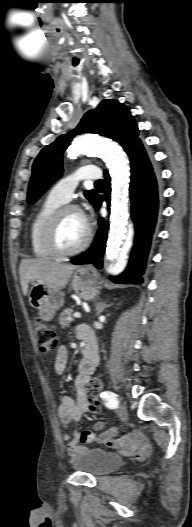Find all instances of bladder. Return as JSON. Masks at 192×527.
<instances>
[{
    "instance_id": "31cf9c89",
    "label": "bladder",
    "mask_w": 192,
    "mask_h": 527,
    "mask_svg": "<svg viewBox=\"0 0 192 527\" xmlns=\"http://www.w3.org/2000/svg\"><path fill=\"white\" fill-rule=\"evenodd\" d=\"M122 462L123 457L115 452L91 448L75 458L73 467L77 471L98 477L114 471Z\"/></svg>"
}]
</instances>
